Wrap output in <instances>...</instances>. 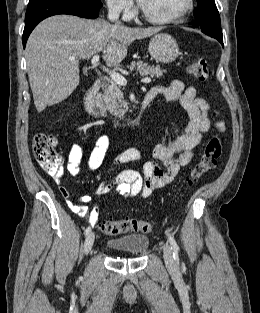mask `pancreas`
<instances>
[{
	"label": "pancreas",
	"instance_id": "obj_1",
	"mask_svg": "<svg viewBox=\"0 0 260 313\" xmlns=\"http://www.w3.org/2000/svg\"><path fill=\"white\" fill-rule=\"evenodd\" d=\"M130 71L136 70L142 76L161 77L165 70H162L159 66H150L148 63L138 61L132 62L128 67ZM98 101L102 109L109 111L112 115L122 119L127 112L125 109V101L123 93L120 87L113 80L107 81L105 89L102 94L98 96Z\"/></svg>",
	"mask_w": 260,
	"mask_h": 313
}]
</instances>
